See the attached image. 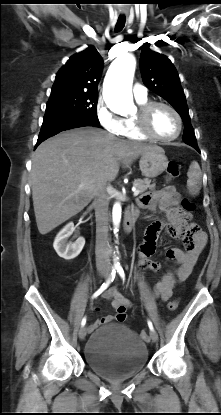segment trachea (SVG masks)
I'll use <instances>...</instances> for the list:
<instances>
[{"label": "trachea", "mask_w": 221, "mask_h": 415, "mask_svg": "<svg viewBox=\"0 0 221 415\" xmlns=\"http://www.w3.org/2000/svg\"><path fill=\"white\" fill-rule=\"evenodd\" d=\"M125 21H126L125 16H119V18L117 20V23H116V26H115V31L116 32H119L124 28Z\"/></svg>", "instance_id": "3493384b"}]
</instances>
